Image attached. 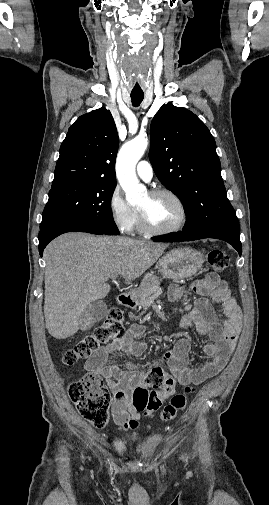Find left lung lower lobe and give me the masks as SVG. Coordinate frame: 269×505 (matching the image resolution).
Returning <instances> with one entry per match:
<instances>
[{
  "label": "left lung lower lobe",
  "mask_w": 269,
  "mask_h": 505,
  "mask_svg": "<svg viewBox=\"0 0 269 505\" xmlns=\"http://www.w3.org/2000/svg\"><path fill=\"white\" fill-rule=\"evenodd\" d=\"M203 238H215V239H221L229 244H231L241 255L242 253V246L240 242V234L239 231L235 229H218V230H213L210 232L206 233H201V234H195V235H188L184 233H179L175 234L172 236L168 237H163V238H158L155 239V241L158 242H180V241H192V240H198V239H203Z\"/></svg>",
  "instance_id": "0a47b994"
}]
</instances>
